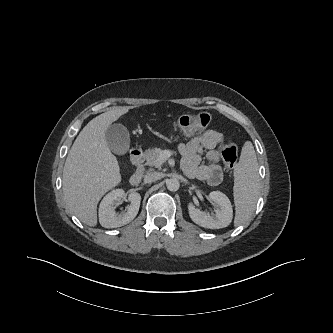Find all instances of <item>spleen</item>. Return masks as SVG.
Returning a JSON list of instances; mask_svg holds the SVG:
<instances>
[{
    "label": "spleen",
    "mask_w": 333,
    "mask_h": 333,
    "mask_svg": "<svg viewBox=\"0 0 333 333\" xmlns=\"http://www.w3.org/2000/svg\"><path fill=\"white\" fill-rule=\"evenodd\" d=\"M258 168L253 144L247 141L234 168L235 226L244 224L256 208L260 182Z\"/></svg>",
    "instance_id": "obj_1"
}]
</instances>
